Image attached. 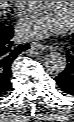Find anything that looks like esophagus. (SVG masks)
I'll use <instances>...</instances> for the list:
<instances>
[{
  "label": "esophagus",
  "mask_w": 74,
  "mask_h": 122,
  "mask_svg": "<svg viewBox=\"0 0 74 122\" xmlns=\"http://www.w3.org/2000/svg\"><path fill=\"white\" fill-rule=\"evenodd\" d=\"M48 49H49L48 46L42 45L40 43H37V42H32L31 43V50L32 51L48 50Z\"/></svg>",
  "instance_id": "1"
}]
</instances>
